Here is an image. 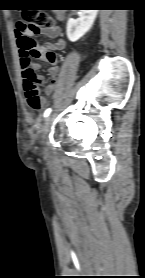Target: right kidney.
<instances>
[{
    "instance_id": "right-kidney-1",
    "label": "right kidney",
    "mask_w": 145,
    "mask_h": 278,
    "mask_svg": "<svg viewBox=\"0 0 145 278\" xmlns=\"http://www.w3.org/2000/svg\"><path fill=\"white\" fill-rule=\"evenodd\" d=\"M98 10H81L78 19L69 18L67 22V37L71 42L79 40L92 27Z\"/></svg>"
}]
</instances>
